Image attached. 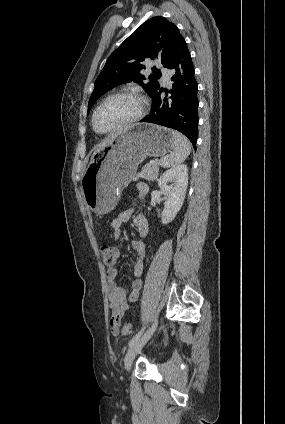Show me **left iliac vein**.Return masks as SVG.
I'll list each match as a JSON object with an SVG mask.
<instances>
[{
	"label": "left iliac vein",
	"instance_id": "4c4485c4",
	"mask_svg": "<svg viewBox=\"0 0 285 424\" xmlns=\"http://www.w3.org/2000/svg\"><path fill=\"white\" fill-rule=\"evenodd\" d=\"M158 321L155 320V322L152 324V326L141 336L135 343L132 345L129 350L127 351V354L124 359L125 364V370L127 372L130 371L133 359L135 358L136 354L141 350V348L146 344V342L150 339L154 331L156 330Z\"/></svg>",
	"mask_w": 285,
	"mask_h": 424
}]
</instances>
